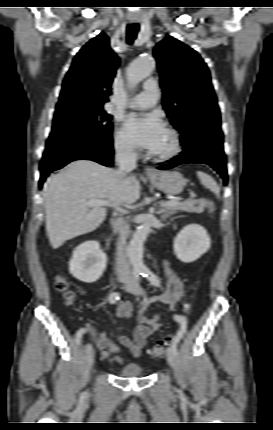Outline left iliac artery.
<instances>
[{"instance_id":"left-iliac-artery-1","label":"left iliac artery","mask_w":273,"mask_h":430,"mask_svg":"<svg viewBox=\"0 0 273 430\" xmlns=\"http://www.w3.org/2000/svg\"><path fill=\"white\" fill-rule=\"evenodd\" d=\"M141 274L143 277H146L151 282V284L155 286L160 285L159 278L149 269L142 270ZM176 319H177V322H179V332L174 337L173 342L171 344V348L175 354L177 353V344L179 343L180 339L183 337L184 334H186L188 330L187 323L184 321L185 320L184 315L179 314L177 315Z\"/></svg>"}]
</instances>
